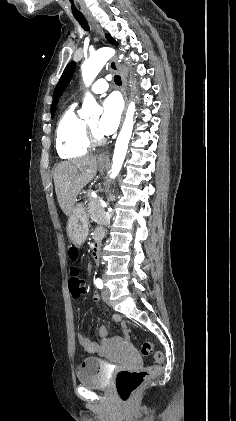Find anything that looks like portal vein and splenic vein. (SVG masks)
Wrapping results in <instances>:
<instances>
[{
	"instance_id": "portal-vein-and-splenic-vein-1",
	"label": "portal vein and splenic vein",
	"mask_w": 236,
	"mask_h": 421,
	"mask_svg": "<svg viewBox=\"0 0 236 421\" xmlns=\"http://www.w3.org/2000/svg\"><path fill=\"white\" fill-rule=\"evenodd\" d=\"M98 200H100L101 206H104L105 209H108L109 208V205L106 204L105 200H102V198H98Z\"/></svg>"
}]
</instances>
